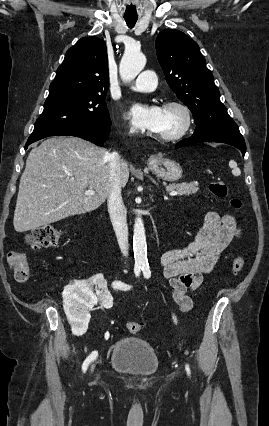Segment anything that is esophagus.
<instances>
[{
    "instance_id": "obj_1",
    "label": "esophagus",
    "mask_w": 269,
    "mask_h": 426,
    "mask_svg": "<svg viewBox=\"0 0 269 426\" xmlns=\"http://www.w3.org/2000/svg\"><path fill=\"white\" fill-rule=\"evenodd\" d=\"M156 158H157L156 155H151L149 161L153 162L156 160Z\"/></svg>"
}]
</instances>
